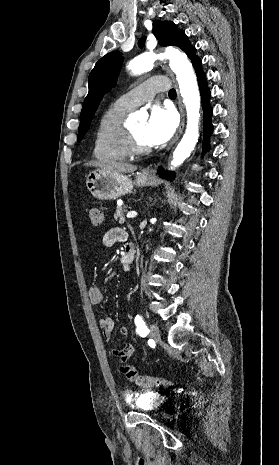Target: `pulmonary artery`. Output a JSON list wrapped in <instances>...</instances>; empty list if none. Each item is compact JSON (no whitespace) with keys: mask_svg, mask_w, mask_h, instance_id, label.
Instances as JSON below:
<instances>
[{"mask_svg":"<svg viewBox=\"0 0 279 465\" xmlns=\"http://www.w3.org/2000/svg\"><path fill=\"white\" fill-rule=\"evenodd\" d=\"M168 87L166 78L162 76L152 77L120 96L116 102L128 109H134L141 104L152 101L156 93L166 91Z\"/></svg>","mask_w":279,"mask_h":465,"instance_id":"obj_1","label":"pulmonary artery"}]
</instances>
